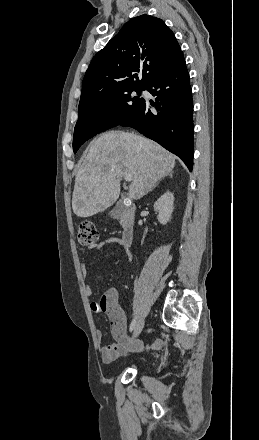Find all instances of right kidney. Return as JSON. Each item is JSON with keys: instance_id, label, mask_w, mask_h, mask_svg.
I'll use <instances>...</instances> for the list:
<instances>
[{"instance_id": "ca27d5eb", "label": "right kidney", "mask_w": 259, "mask_h": 440, "mask_svg": "<svg viewBox=\"0 0 259 440\" xmlns=\"http://www.w3.org/2000/svg\"><path fill=\"white\" fill-rule=\"evenodd\" d=\"M174 195L167 191L155 203L154 210L158 212V221L162 225H166L171 219L174 209Z\"/></svg>"}]
</instances>
